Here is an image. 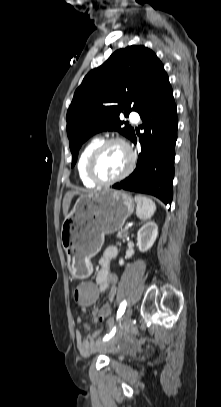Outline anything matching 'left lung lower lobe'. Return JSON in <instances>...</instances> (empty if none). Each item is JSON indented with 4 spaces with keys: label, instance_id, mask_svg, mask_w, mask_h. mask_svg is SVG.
<instances>
[{
    "label": "left lung lower lobe",
    "instance_id": "0a47b994",
    "mask_svg": "<svg viewBox=\"0 0 221 407\" xmlns=\"http://www.w3.org/2000/svg\"><path fill=\"white\" fill-rule=\"evenodd\" d=\"M146 130L139 138L141 153L136 169L126 179L112 186L156 196L166 205L172 201L177 111L168 76L159 83L151 99L138 112ZM153 116L152 120L151 117ZM153 128V136L150 133ZM137 138L134 134L131 139Z\"/></svg>",
    "mask_w": 221,
    "mask_h": 407
}]
</instances>
